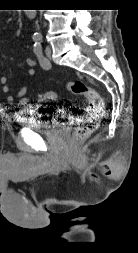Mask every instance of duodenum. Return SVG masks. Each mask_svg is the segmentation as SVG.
I'll list each match as a JSON object with an SVG mask.
<instances>
[{
    "mask_svg": "<svg viewBox=\"0 0 138 253\" xmlns=\"http://www.w3.org/2000/svg\"><path fill=\"white\" fill-rule=\"evenodd\" d=\"M26 16L29 19H34L36 17V11L34 9H28V11H26Z\"/></svg>",
    "mask_w": 138,
    "mask_h": 253,
    "instance_id": "obj_1",
    "label": "duodenum"
}]
</instances>
